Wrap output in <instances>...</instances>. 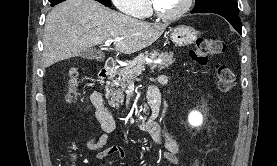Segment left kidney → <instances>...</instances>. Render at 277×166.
<instances>
[{"label":"left kidney","instance_id":"5707ae66","mask_svg":"<svg viewBox=\"0 0 277 166\" xmlns=\"http://www.w3.org/2000/svg\"><path fill=\"white\" fill-rule=\"evenodd\" d=\"M188 121L192 126L198 127L203 123V116L200 112L193 111L189 114Z\"/></svg>","mask_w":277,"mask_h":166}]
</instances>
